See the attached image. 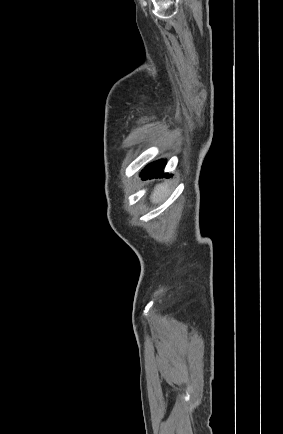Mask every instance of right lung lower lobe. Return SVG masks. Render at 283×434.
<instances>
[{"label": "right lung lower lobe", "instance_id": "98d812e1", "mask_svg": "<svg viewBox=\"0 0 283 434\" xmlns=\"http://www.w3.org/2000/svg\"><path fill=\"white\" fill-rule=\"evenodd\" d=\"M164 166H165V161L163 160H159L157 162L149 164L142 172V179L159 177L161 175L163 176Z\"/></svg>", "mask_w": 283, "mask_h": 434}]
</instances>
